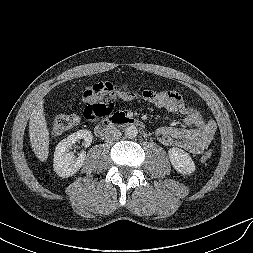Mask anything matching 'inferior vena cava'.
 <instances>
[{
    "mask_svg": "<svg viewBox=\"0 0 253 253\" xmlns=\"http://www.w3.org/2000/svg\"><path fill=\"white\" fill-rule=\"evenodd\" d=\"M122 133L119 129L109 127L104 132V139L108 142L117 141L120 139Z\"/></svg>",
    "mask_w": 253,
    "mask_h": 253,
    "instance_id": "inferior-vena-cava-1",
    "label": "inferior vena cava"
}]
</instances>
